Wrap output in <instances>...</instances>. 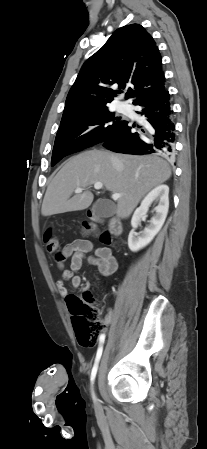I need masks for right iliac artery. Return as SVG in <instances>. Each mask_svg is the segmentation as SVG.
Wrapping results in <instances>:
<instances>
[{"label": "right iliac artery", "mask_w": 207, "mask_h": 449, "mask_svg": "<svg viewBox=\"0 0 207 449\" xmlns=\"http://www.w3.org/2000/svg\"><path fill=\"white\" fill-rule=\"evenodd\" d=\"M104 341H105V334H102L99 337V347H98V350H97L95 363H94V366H93L92 371H91V384L94 383V380H95V377H96V374H97L98 364H99V361H100V358H101V355H102V352H103Z\"/></svg>", "instance_id": "obj_1"}]
</instances>
